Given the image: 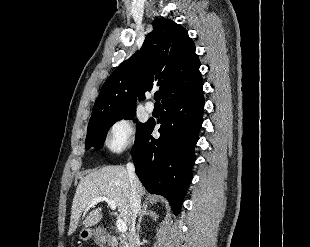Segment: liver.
I'll list each match as a JSON object with an SVG mask.
<instances>
[{
	"label": "liver",
	"instance_id": "liver-1",
	"mask_svg": "<svg viewBox=\"0 0 310 247\" xmlns=\"http://www.w3.org/2000/svg\"><path fill=\"white\" fill-rule=\"evenodd\" d=\"M140 196H144L145 190L139 182ZM105 196L116 202L120 217L130 225L131 216V183L128 172L123 166H104L95 169L83 177L76 189L73 198L70 228L68 235H71L77 228L82 213L89 208V203L96 197ZM102 218V208L92 210L85 218L83 225L85 228L94 226Z\"/></svg>",
	"mask_w": 310,
	"mask_h": 247
}]
</instances>
